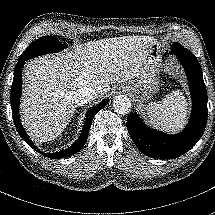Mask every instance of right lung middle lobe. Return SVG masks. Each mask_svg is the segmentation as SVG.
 Masks as SVG:
<instances>
[{"label": "right lung middle lobe", "mask_w": 215, "mask_h": 215, "mask_svg": "<svg viewBox=\"0 0 215 215\" xmlns=\"http://www.w3.org/2000/svg\"><path fill=\"white\" fill-rule=\"evenodd\" d=\"M65 45L59 42L52 36H43L33 43H31L27 49L20 55L19 59L29 60L36 56L55 53L63 50Z\"/></svg>", "instance_id": "obj_1"}]
</instances>
